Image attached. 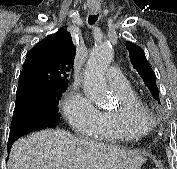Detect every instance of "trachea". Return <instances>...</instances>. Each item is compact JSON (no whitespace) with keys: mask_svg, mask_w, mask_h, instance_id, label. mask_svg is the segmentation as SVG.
<instances>
[{"mask_svg":"<svg viewBox=\"0 0 177 169\" xmlns=\"http://www.w3.org/2000/svg\"><path fill=\"white\" fill-rule=\"evenodd\" d=\"M97 21V16L96 15H90L88 18V23L90 25L94 24Z\"/></svg>","mask_w":177,"mask_h":169,"instance_id":"obj_1","label":"trachea"}]
</instances>
